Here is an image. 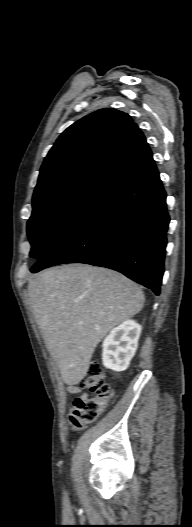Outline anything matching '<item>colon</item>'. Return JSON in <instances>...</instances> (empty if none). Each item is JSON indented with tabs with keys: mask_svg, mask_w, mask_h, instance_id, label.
Here are the masks:
<instances>
[{
	"mask_svg": "<svg viewBox=\"0 0 192 527\" xmlns=\"http://www.w3.org/2000/svg\"><path fill=\"white\" fill-rule=\"evenodd\" d=\"M79 385L94 394L90 398H77L70 410V425L74 430L81 429L85 424L95 420L107 407L112 391L105 380L104 370L96 362L90 363Z\"/></svg>",
	"mask_w": 192,
	"mask_h": 527,
	"instance_id": "5ec220e1",
	"label": "colon"
}]
</instances>
